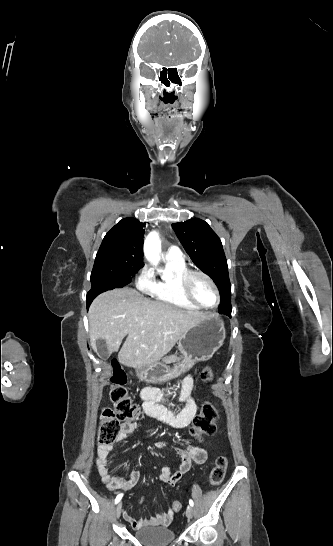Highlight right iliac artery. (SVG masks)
Segmentation results:
<instances>
[{
  "label": "right iliac artery",
  "mask_w": 333,
  "mask_h": 546,
  "mask_svg": "<svg viewBox=\"0 0 333 546\" xmlns=\"http://www.w3.org/2000/svg\"><path fill=\"white\" fill-rule=\"evenodd\" d=\"M123 497V494H118L115 498V504H117Z\"/></svg>",
  "instance_id": "1"
}]
</instances>
